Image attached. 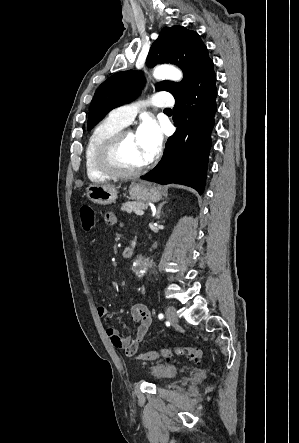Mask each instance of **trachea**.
<instances>
[{"instance_id": "obj_1", "label": "trachea", "mask_w": 299, "mask_h": 443, "mask_svg": "<svg viewBox=\"0 0 299 443\" xmlns=\"http://www.w3.org/2000/svg\"><path fill=\"white\" fill-rule=\"evenodd\" d=\"M165 110H170L169 108H166Z\"/></svg>"}]
</instances>
